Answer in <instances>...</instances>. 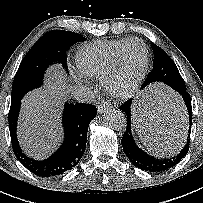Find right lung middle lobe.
I'll return each instance as SVG.
<instances>
[{"label":"right lung middle lobe","instance_id":"1","mask_svg":"<svg viewBox=\"0 0 203 203\" xmlns=\"http://www.w3.org/2000/svg\"><path fill=\"white\" fill-rule=\"evenodd\" d=\"M80 41H85L80 34L63 30H52L43 35L20 64L12 87L11 103L20 101L27 92L41 86L49 65L62 63L66 68V52Z\"/></svg>","mask_w":203,"mask_h":203}]
</instances>
